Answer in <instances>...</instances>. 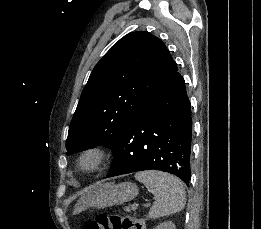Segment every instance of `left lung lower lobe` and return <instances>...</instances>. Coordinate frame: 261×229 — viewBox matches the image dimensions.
Listing matches in <instances>:
<instances>
[{"label":"left lung lower lobe","instance_id":"1","mask_svg":"<svg viewBox=\"0 0 261 229\" xmlns=\"http://www.w3.org/2000/svg\"><path fill=\"white\" fill-rule=\"evenodd\" d=\"M191 106L183 77L176 71L145 100L114 150L107 177L161 170L189 183Z\"/></svg>","mask_w":261,"mask_h":229}]
</instances>
